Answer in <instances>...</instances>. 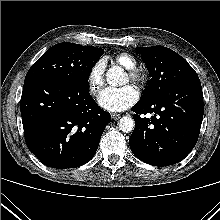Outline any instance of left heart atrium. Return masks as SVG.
I'll return each mask as SVG.
<instances>
[{
    "mask_svg": "<svg viewBox=\"0 0 220 220\" xmlns=\"http://www.w3.org/2000/svg\"><path fill=\"white\" fill-rule=\"evenodd\" d=\"M138 98V91L131 85L107 87L99 94L98 103L107 111L121 112L135 104Z\"/></svg>",
    "mask_w": 220,
    "mask_h": 220,
    "instance_id": "obj_1",
    "label": "left heart atrium"
}]
</instances>
